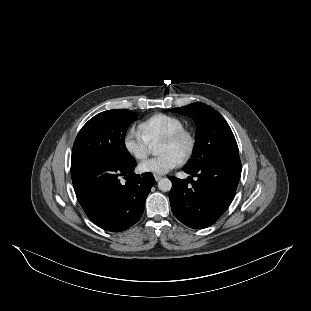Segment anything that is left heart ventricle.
Masks as SVG:
<instances>
[{"mask_svg": "<svg viewBox=\"0 0 311 311\" xmlns=\"http://www.w3.org/2000/svg\"><path fill=\"white\" fill-rule=\"evenodd\" d=\"M188 148V141L187 139H183L179 144H169L167 142L161 143L159 153L163 154L166 152H174L180 158H182L183 154L186 152Z\"/></svg>", "mask_w": 311, "mask_h": 311, "instance_id": "left-heart-ventricle-1", "label": "left heart ventricle"}]
</instances>
